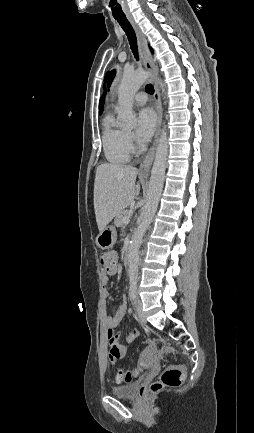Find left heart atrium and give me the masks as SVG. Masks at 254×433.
<instances>
[{
	"label": "left heart atrium",
	"mask_w": 254,
	"mask_h": 433,
	"mask_svg": "<svg viewBox=\"0 0 254 433\" xmlns=\"http://www.w3.org/2000/svg\"><path fill=\"white\" fill-rule=\"evenodd\" d=\"M156 126V115L150 108H144L138 113L137 133L142 138H149Z\"/></svg>",
	"instance_id": "39dd6f15"
}]
</instances>
